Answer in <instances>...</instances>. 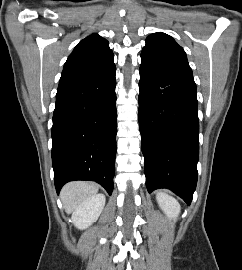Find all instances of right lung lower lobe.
<instances>
[{"label":"right lung lower lobe","instance_id":"98d812e1","mask_svg":"<svg viewBox=\"0 0 242 270\" xmlns=\"http://www.w3.org/2000/svg\"><path fill=\"white\" fill-rule=\"evenodd\" d=\"M115 74L111 61L57 90L52 126L57 193L73 180L96 181L112 193L117 134Z\"/></svg>","mask_w":242,"mask_h":270}]
</instances>
